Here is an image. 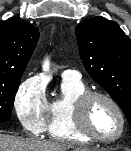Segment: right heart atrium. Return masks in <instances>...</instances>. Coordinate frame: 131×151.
Masks as SVG:
<instances>
[{
  "label": "right heart atrium",
  "instance_id": "obj_1",
  "mask_svg": "<svg viewBox=\"0 0 131 151\" xmlns=\"http://www.w3.org/2000/svg\"><path fill=\"white\" fill-rule=\"evenodd\" d=\"M49 102L41 80L36 76L26 78L18 86L13 106L18 120L33 135L45 131Z\"/></svg>",
  "mask_w": 131,
  "mask_h": 151
}]
</instances>
